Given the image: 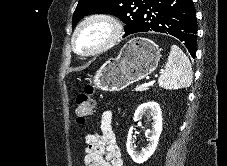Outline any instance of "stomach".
Segmentation results:
<instances>
[{"mask_svg": "<svg viewBox=\"0 0 227 166\" xmlns=\"http://www.w3.org/2000/svg\"><path fill=\"white\" fill-rule=\"evenodd\" d=\"M160 56V48L152 40L133 38L117 57L101 66L93 77V84L103 91H120L151 74L158 66Z\"/></svg>", "mask_w": 227, "mask_h": 166, "instance_id": "0dacf381", "label": "stomach"}]
</instances>
